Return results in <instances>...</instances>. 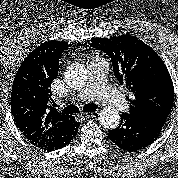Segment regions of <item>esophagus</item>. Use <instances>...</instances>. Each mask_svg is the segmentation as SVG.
I'll return each instance as SVG.
<instances>
[{"instance_id": "obj_1", "label": "esophagus", "mask_w": 178, "mask_h": 178, "mask_svg": "<svg viewBox=\"0 0 178 178\" xmlns=\"http://www.w3.org/2000/svg\"><path fill=\"white\" fill-rule=\"evenodd\" d=\"M99 115V111H94V112H91V113H89V112H82L81 114H80V116L81 117H83V118H86V117H97Z\"/></svg>"}]
</instances>
